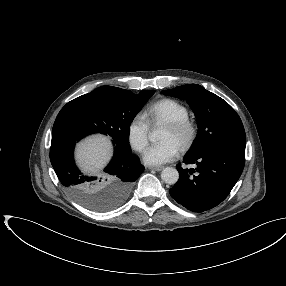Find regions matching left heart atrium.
Masks as SVG:
<instances>
[{"label": "left heart atrium", "mask_w": 286, "mask_h": 286, "mask_svg": "<svg viewBox=\"0 0 286 286\" xmlns=\"http://www.w3.org/2000/svg\"><path fill=\"white\" fill-rule=\"evenodd\" d=\"M179 152L180 146L167 139L150 146L145 151L143 159L147 164L160 165L175 159Z\"/></svg>", "instance_id": "left-heart-atrium-1"}]
</instances>
